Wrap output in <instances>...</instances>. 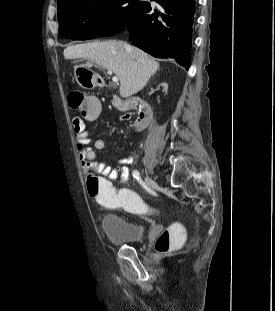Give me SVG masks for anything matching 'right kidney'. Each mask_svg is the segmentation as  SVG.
<instances>
[{"instance_id":"obj_1","label":"right kidney","mask_w":275,"mask_h":311,"mask_svg":"<svg viewBox=\"0 0 275 311\" xmlns=\"http://www.w3.org/2000/svg\"><path fill=\"white\" fill-rule=\"evenodd\" d=\"M157 88L158 90L152 91V96L159 97L160 100H167L168 99V94H167L168 84L167 83L158 84Z\"/></svg>"}]
</instances>
